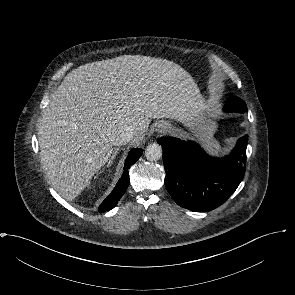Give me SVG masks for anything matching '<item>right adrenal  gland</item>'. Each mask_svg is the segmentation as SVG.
Returning <instances> with one entry per match:
<instances>
[{"mask_svg":"<svg viewBox=\"0 0 295 295\" xmlns=\"http://www.w3.org/2000/svg\"><path fill=\"white\" fill-rule=\"evenodd\" d=\"M119 151H120V148H116V149L114 150V152H113L111 158H110L109 161H108V165H107V166H110V165L112 164L113 160H114L115 157L118 155Z\"/></svg>","mask_w":295,"mask_h":295,"instance_id":"obj_1","label":"right adrenal gland"}]
</instances>
